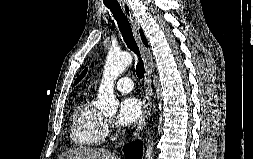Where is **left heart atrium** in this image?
Here are the masks:
<instances>
[{"label":"left heart atrium","mask_w":253,"mask_h":159,"mask_svg":"<svg viewBox=\"0 0 253 159\" xmlns=\"http://www.w3.org/2000/svg\"><path fill=\"white\" fill-rule=\"evenodd\" d=\"M142 112L141 101L134 96H126L120 103L117 121L123 126H132L140 119Z\"/></svg>","instance_id":"39dd6f15"}]
</instances>
